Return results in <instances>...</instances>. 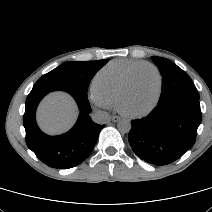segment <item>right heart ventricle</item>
<instances>
[{"instance_id": "right-heart-ventricle-1", "label": "right heart ventricle", "mask_w": 212, "mask_h": 212, "mask_svg": "<svg viewBox=\"0 0 212 212\" xmlns=\"http://www.w3.org/2000/svg\"><path fill=\"white\" fill-rule=\"evenodd\" d=\"M141 61L118 59L105 65L95 76L94 86L115 103L126 77Z\"/></svg>"}]
</instances>
